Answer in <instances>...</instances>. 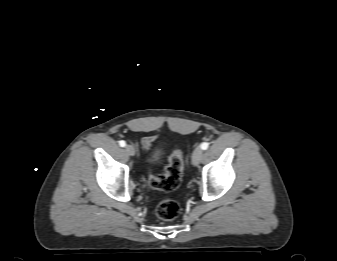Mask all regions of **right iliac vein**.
Here are the masks:
<instances>
[{"label": "right iliac vein", "instance_id": "obj_1", "mask_svg": "<svg viewBox=\"0 0 337 261\" xmlns=\"http://www.w3.org/2000/svg\"><path fill=\"white\" fill-rule=\"evenodd\" d=\"M125 152L130 156H134L135 155V148L132 145H126L125 146Z\"/></svg>", "mask_w": 337, "mask_h": 261}]
</instances>
